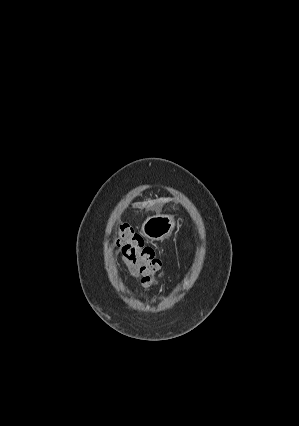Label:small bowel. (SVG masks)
Returning <instances> with one entry per match:
<instances>
[{
	"label": "small bowel",
	"instance_id": "c3829d8e",
	"mask_svg": "<svg viewBox=\"0 0 299 426\" xmlns=\"http://www.w3.org/2000/svg\"><path fill=\"white\" fill-rule=\"evenodd\" d=\"M121 260L124 266L126 267L127 271L129 272V274L135 278L140 279V272L138 270V267L123 254L121 255Z\"/></svg>",
	"mask_w": 299,
	"mask_h": 426
}]
</instances>
